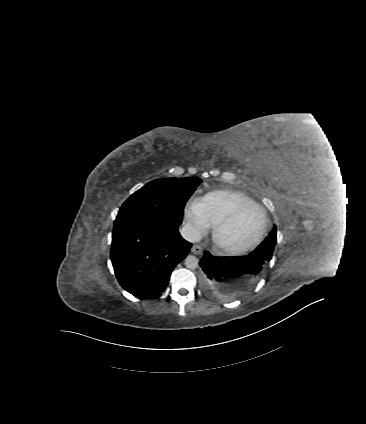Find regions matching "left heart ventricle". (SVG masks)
I'll list each match as a JSON object with an SVG mask.
<instances>
[{
  "label": "left heart ventricle",
  "mask_w": 366,
  "mask_h": 424,
  "mask_svg": "<svg viewBox=\"0 0 366 424\" xmlns=\"http://www.w3.org/2000/svg\"><path fill=\"white\" fill-rule=\"evenodd\" d=\"M263 226V216L259 209L248 208L241 212L236 220L219 235L222 243L239 246L252 241Z\"/></svg>",
  "instance_id": "left-heart-ventricle-1"
}]
</instances>
